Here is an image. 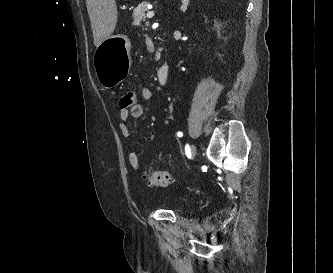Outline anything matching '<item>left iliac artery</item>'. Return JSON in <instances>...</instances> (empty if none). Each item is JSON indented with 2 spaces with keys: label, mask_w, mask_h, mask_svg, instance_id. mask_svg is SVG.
Wrapping results in <instances>:
<instances>
[{
  "label": "left iliac artery",
  "mask_w": 333,
  "mask_h": 273,
  "mask_svg": "<svg viewBox=\"0 0 333 273\" xmlns=\"http://www.w3.org/2000/svg\"><path fill=\"white\" fill-rule=\"evenodd\" d=\"M177 136H178V137H182V136H183V133H182V132H177Z\"/></svg>",
  "instance_id": "44dca946"
}]
</instances>
